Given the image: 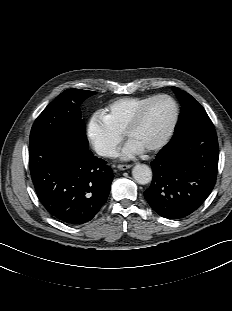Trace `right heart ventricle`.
<instances>
[{"label": "right heart ventricle", "instance_id": "obj_1", "mask_svg": "<svg viewBox=\"0 0 232 311\" xmlns=\"http://www.w3.org/2000/svg\"><path fill=\"white\" fill-rule=\"evenodd\" d=\"M153 96H126L117 98L105 107L104 117L117 133H123L137 109Z\"/></svg>", "mask_w": 232, "mask_h": 311}]
</instances>
